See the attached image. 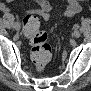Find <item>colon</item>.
<instances>
[{
    "mask_svg": "<svg viewBox=\"0 0 91 91\" xmlns=\"http://www.w3.org/2000/svg\"><path fill=\"white\" fill-rule=\"evenodd\" d=\"M48 19V15H42ZM23 34L30 41L31 59L37 70H43L52 57L51 46L48 42V34L40 29L39 17L35 14H28L23 20Z\"/></svg>",
    "mask_w": 91,
    "mask_h": 91,
    "instance_id": "5ec220e1",
    "label": "colon"
}]
</instances>
